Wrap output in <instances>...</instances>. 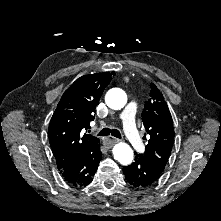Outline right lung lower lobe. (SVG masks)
Instances as JSON below:
<instances>
[{
	"instance_id": "obj_1",
	"label": "right lung lower lobe",
	"mask_w": 221,
	"mask_h": 221,
	"mask_svg": "<svg viewBox=\"0 0 221 221\" xmlns=\"http://www.w3.org/2000/svg\"><path fill=\"white\" fill-rule=\"evenodd\" d=\"M102 159L99 141L76 156L68 165L60 170L64 180L74 187L88 185Z\"/></svg>"
}]
</instances>
